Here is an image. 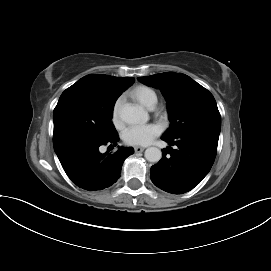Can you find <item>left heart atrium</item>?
Here are the masks:
<instances>
[{
    "mask_svg": "<svg viewBox=\"0 0 271 271\" xmlns=\"http://www.w3.org/2000/svg\"><path fill=\"white\" fill-rule=\"evenodd\" d=\"M161 133L157 124H137L127 127L123 139L129 145L145 146L150 144Z\"/></svg>",
    "mask_w": 271,
    "mask_h": 271,
    "instance_id": "obj_1",
    "label": "left heart atrium"
}]
</instances>
